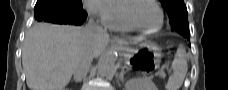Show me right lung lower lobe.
I'll use <instances>...</instances> for the list:
<instances>
[{
  "instance_id": "right-lung-lower-lobe-1",
  "label": "right lung lower lobe",
  "mask_w": 228,
  "mask_h": 90,
  "mask_svg": "<svg viewBox=\"0 0 228 90\" xmlns=\"http://www.w3.org/2000/svg\"><path fill=\"white\" fill-rule=\"evenodd\" d=\"M34 12L36 21L56 24L81 25L87 17L83 9L69 11L59 5L57 0H41L37 6L35 5Z\"/></svg>"
}]
</instances>
